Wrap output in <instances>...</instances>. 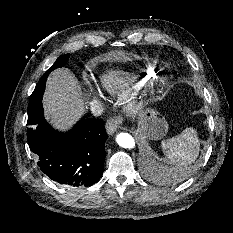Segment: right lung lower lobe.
I'll list each match as a JSON object with an SVG mask.
<instances>
[{"mask_svg":"<svg viewBox=\"0 0 233 233\" xmlns=\"http://www.w3.org/2000/svg\"><path fill=\"white\" fill-rule=\"evenodd\" d=\"M47 77L39 80L31 96L42 101ZM107 137L101 119L80 120L68 133H61L42 117L28 135V143L38 157V166L50 179L70 186H91L103 172Z\"/></svg>","mask_w":233,"mask_h":233,"instance_id":"obj_1","label":"right lung lower lobe"}]
</instances>
